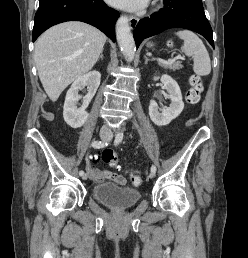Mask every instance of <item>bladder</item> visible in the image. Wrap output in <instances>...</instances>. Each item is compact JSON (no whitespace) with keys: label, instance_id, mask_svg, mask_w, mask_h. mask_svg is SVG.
<instances>
[{"label":"bladder","instance_id":"31cf9c89","mask_svg":"<svg viewBox=\"0 0 248 258\" xmlns=\"http://www.w3.org/2000/svg\"><path fill=\"white\" fill-rule=\"evenodd\" d=\"M92 194L96 201L114 209L129 208L135 205L142 196L136 188L109 182L96 185Z\"/></svg>","mask_w":248,"mask_h":258}]
</instances>
